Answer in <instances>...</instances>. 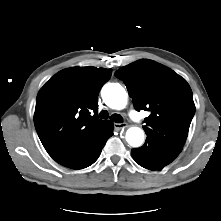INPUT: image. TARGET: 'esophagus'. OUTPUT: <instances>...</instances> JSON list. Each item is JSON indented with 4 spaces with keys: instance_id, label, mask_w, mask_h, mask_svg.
I'll list each match as a JSON object with an SVG mask.
<instances>
[{
    "instance_id": "34e87169",
    "label": "esophagus",
    "mask_w": 221,
    "mask_h": 221,
    "mask_svg": "<svg viewBox=\"0 0 221 221\" xmlns=\"http://www.w3.org/2000/svg\"><path fill=\"white\" fill-rule=\"evenodd\" d=\"M127 127V124L126 123H115L114 124V128L115 130L119 131L121 129H124Z\"/></svg>"
}]
</instances>
